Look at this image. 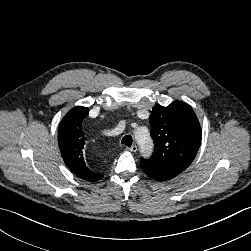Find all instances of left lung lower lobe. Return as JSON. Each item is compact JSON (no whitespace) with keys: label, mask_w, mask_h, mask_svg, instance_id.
I'll return each mask as SVG.
<instances>
[{"label":"left lung lower lobe","mask_w":251,"mask_h":251,"mask_svg":"<svg viewBox=\"0 0 251 251\" xmlns=\"http://www.w3.org/2000/svg\"><path fill=\"white\" fill-rule=\"evenodd\" d=\"M141 167L148 176H150L156 181H167L178 175L174 172L162 171V170L152 168L143 163H141Z\"/></svg>","instance_id":"left-lung-lower-lobe-1"}]
</instances>
